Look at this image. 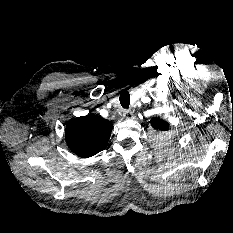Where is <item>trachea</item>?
<instances>
[{"label": "trachea", "instance_id": "trachea-1", "mask_svg": "<svg viewBox=\"0 0 233 233\" xmlns=\"http://www.w3.org/2000/svg\"><path fill=\"white\" fill-rule=\"evenodd\" d=\"M120 103L124 109L129 108L130 94L127 91H122L119 97Z\"/></svg>", "mask_w": 233, "mask_h": 233}]
</instances>
